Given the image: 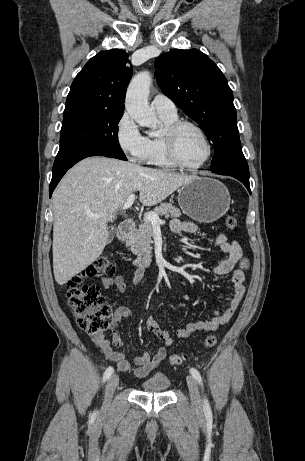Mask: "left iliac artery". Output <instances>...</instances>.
I'll use <instances>...</instances> for the list:
<instances>
[{
    "label": "left iliac artery",
    "instance_id": "1",
    "mask_svg": "<svg viewBox=\"0 0 305 461\" xmlns=\"http://www.w3.org/2000/svg\"><path fill=\"white\" fill-rule=\"evenodd\" d=\"M190 373L196 379V381L203 387V381H202V377H201V374L199 373V371L197 369H195V368H191ZM203 403H204L203 407H204L205 414L208 415V416H211L212 412H211L210 404H209L206 397H204Z\"/></svg>",
    "mask_w": 305,
    "mask_h": 461
}]
</instances>
